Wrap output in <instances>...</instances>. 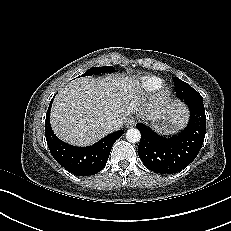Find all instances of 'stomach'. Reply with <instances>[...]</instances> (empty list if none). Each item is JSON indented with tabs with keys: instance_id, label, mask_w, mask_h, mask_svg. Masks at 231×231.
Here are the masks:
<instances>
[{
	"instance_id": "1",
	"label": "stomach",
	"mask_w": 231,
	"mask_h": 231,
	"mask_svg": "<svg viewBox=\"0 0 231 231\" xmlns=\"http://www.w3.org/2000/svg\"><path fill=\"white\" fill-rule=\"evenodd\" d=\"M152 125L155 130L164 134L173 133L178 129V124L171 112L156 115L152 119Z\"/></svg>"
}]
</instances>
